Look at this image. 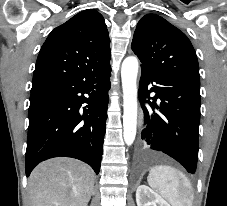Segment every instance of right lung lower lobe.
<instances>
[{"instance_id":"obj_1","label":"right lung lower lobe","mask_w":227,"mask_h":206,"mask_svg":"<svg viewBox=\"0 0 227 206\" xmlns=\"http://www.w3.org/2000/svg\"><path fill=\"white\" fill-rule=\"evenodd\" d=\"M110 75L108 63L31 89L26 176L41 161L59 156L84 161L99 173Z\"/></svg>"}]
</instances>
